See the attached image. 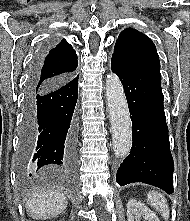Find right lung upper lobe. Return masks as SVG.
Instances as JSON below:
<instances>
[{
  "instance_id": "1",
  "label": "right lung upper lobe",
  "mask_w": 190,
  "mask_h": 221,
  "mask_svg": "<svg viewBox=\"0 0 190 221\" xmlns=\"http://www.w3.org/2000/svg\"><path fill=\"white\" fill-rule=\"evenodd\" d=\"M77 66L75 50L63 39L40 59L35 84L36 86H46L66 81L74 76Z\"/></svg>"
}]
</instances>
